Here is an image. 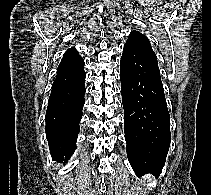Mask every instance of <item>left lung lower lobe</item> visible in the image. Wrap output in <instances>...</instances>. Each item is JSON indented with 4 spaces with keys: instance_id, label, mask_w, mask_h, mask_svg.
Here are the masks:
<instances>
[{
    "instance_id": "left-lung-lower-lobe-1",
    "label": "left lung lower lobe",
    "mask_w": 211,
    "mask_h": 195,
    "mask_svg": "<svg viewBox=\"0 0 211 195\" xmlns=\"http://www.w3.org/2000/svg\"><path fill=\"white\" fill-rule=\"evenodd\" d=\"M120 79L128 160L137 175L159 174L171 139L160 73L122 56Z\"/></svg>"
}]
</instances>
